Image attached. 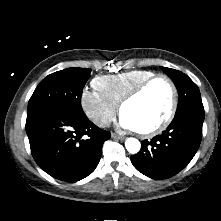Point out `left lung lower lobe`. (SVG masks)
I'll list each match as a JSON object with an SVG mask.
<instances>
[{"instance_id": "left-lung-lower-lobe-1", "label": "left lung lower lobe", "mask_w": 221, "mask_h": 221, "mask_svg": "<svg viewBox=\"0 0 221 221\" xmlns=\"http://www.w3.org/2000/svg\"><path fill=\"white\" fill-rule=\"evenodd\" d=\"M204 115L203 107L177 112L161 135L141 142L139 153L131 156L132 164L152 179L174 176L188 165L199 148Z\"/></svg>"}]
</instances>
